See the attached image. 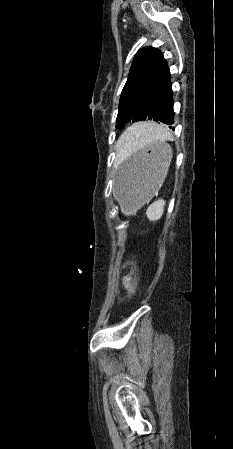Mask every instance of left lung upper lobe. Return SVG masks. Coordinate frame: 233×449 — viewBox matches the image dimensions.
<instances>
[{"instance_id": "left-lung-upper-lobe-1", "label": "left lung upper lobe", "mask_w": 233, "mask_h": 449, "mask_svg": "<svg viewBox=\"0 0 233 449\" xmlns=\"http://www.w3.org/2000/svg\"><path fill=\"white\" fill-rule=\"evenodd\" d=\"M169 83L170 71L162 53L154 47L140 49L122 90L116 128L130 121H147L148 108Z\"/></svg>"}]
</instances>
